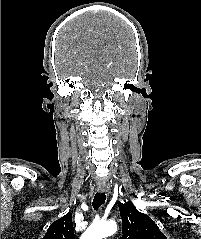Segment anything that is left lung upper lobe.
<instances>
[{"label":"left lung upper lobe","mask_w":201,"mask_h":239,"mask_svg":"<svg viewBox=\"0 0 201 239\" xmlns=\"http://www.w3.org/2000/svg\"><path fill=\"white\" fill-rule=\"evenodd\" d=\"M122 218V239H167L154 221L139 212L132 202L119 204Z\"/></svg>","instance_id":"5c2ea615"}]
</instances>
